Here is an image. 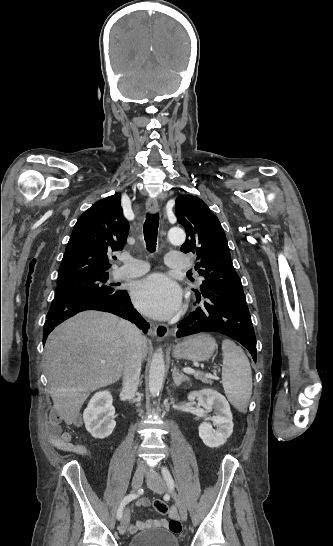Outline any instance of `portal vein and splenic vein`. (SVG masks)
I'll return each mask as SVG.
<instances>
[{
	"label": "portal vein and splenic vein",
	"mask_w": 333,
	"mask_h": 546,
	"mask_svg": "<svg viewBox=\"0 0 333 546\" xmlns=\"http://www.w3.org/2000/svg\"><path fill=\"white\" fill-rule=\"evenodd\" d=\"M102 364H105L106 361L105 360H101L100 361ZM183 372H185L186 374H194V375H200L201 373L195 371L194 369L192 368H183ZM205 376H211L209 374H206Z\"/></svg>",
	"instance_id": "obj_1"
}]
</instances>
